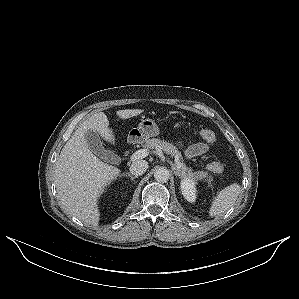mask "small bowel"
Wrapping results in <instances>:
<instances>
[{
  "instance_id": "1",
  "label": "small bowel",
  "mask_w": 299,
  "mask_h": 299,
  "mask_svg": "<svg viewBox=\"0 0 299 299\" xmlns=\"http://www.w3.org/2000/svg\"><path fill=\"white\" fill-rule=\"evenodd\" d=\"M209 151V145L204 142H198L190 145L185 149V156L187 158H194L203 155Z\"/></svg>"
}]
</instances>
